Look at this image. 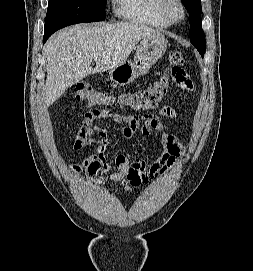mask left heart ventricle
Masks as SVG:
<instances>
[{
    "label": "left heart ventricle",
    "mask_w": 253,
    "mask_h": 271,
    "mask_svg": "<svg viewBox=\"0 0 253 271\" xmlns=\"http://www.w3.org/2000/svg\"><path fill=\"white\" fill-rule=\"evenodd\" d=\"M171 10H172L173 15L175 16L180 15V9L176 5H174Z\"/></svg>",
    "instance_id": "obj_1"
}]
</instances>
